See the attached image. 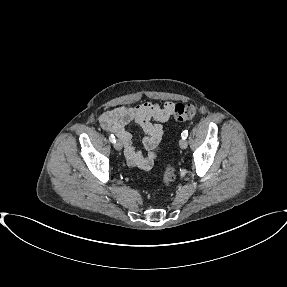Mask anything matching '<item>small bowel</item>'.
Instances as JSON below:
<instances>
[{
  "mask_svg": "<svg viewBox=\"0 0 287 287\" xmlns=\"http://www.w3.org/2000/svg\"><path fill=\"white\" fill-rule=\"evenodd\" d=\"M175 106L174 102H166L162 106L150 102L134 107L119 106L104 111L99 121L103 129L114 133L123 142L130 166L150 170L154 165L155 148L164 134L163 124L172 116ZM131 122L137 123L146 134L143 145L147 155H143L133 146L132 136L127 130V125Z\"/></svg>",
  "mask_w": 287,
  "mask_h": 287,
  "instance_id": "1",
  "label": "small bowel"
}]
</instances>
